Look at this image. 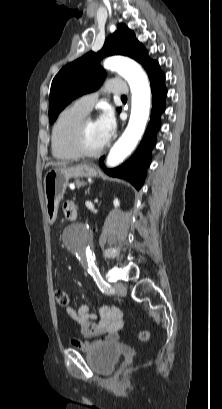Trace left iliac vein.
<instances>
[{"label":"left iliac vein","mask_w":222,"mask_h":409,"mask_svg":"<svg viewBox=\"0 0 222 409\" xmlns=\"http://www.w3.org/2000/svg\"><path fill=\"white\" fill-rule=\"evenodd\" d=\"M115 291L120 296H125L127 293L126 287L122 283H116L114 285Z\"/></svg>","instance_id":"obj_1"}]
</instances>
